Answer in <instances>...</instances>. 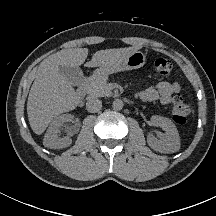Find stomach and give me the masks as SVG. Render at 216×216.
I'll list each match as a JSON object with an SVG mask.
<instances>
[{
	"label": "stomach",
	"instance_id": "stomach-1",
	"mask_svg": "<svg viewBox=\"0 0 216 216\" xmlns=\"http://www.w3.org/2000/svg\"><path fill=\"white\" fill-rule=\"evenodd\" d=\"M146 55L140 51H135L126 58L113 65L101 66L94 71V76L108 75L115 72L138 69L144 66Z\"/></svg>",
	"mask_w": 216,
	"mask_h": 216
}]
</instances>
